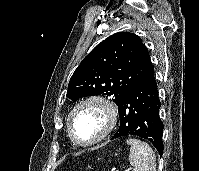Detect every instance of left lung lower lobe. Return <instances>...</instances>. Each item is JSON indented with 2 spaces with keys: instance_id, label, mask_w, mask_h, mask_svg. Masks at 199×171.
Instances as JSON below:
<instances>
[{
  "instance_id": "1",
  "label": "left lung lower lobe",
  "mask_w": 199,
  "mask_h": 171,
  "mask_svg": "<svg viewBox=\"0 0 199 171\" xmlns=\"http://www.w3.org/2000/svg\"><path fill=\"white\" fill-rule=\"evenodd\" d=\"M160 106L152 65L118 105L120 126L112 139L128 135L145 138L152 142L162 156L163 123L159 117Z\"/></svg>"
}]
</instances>
